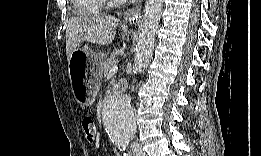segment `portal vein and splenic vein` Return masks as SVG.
Returning <instances> with one entry per match:
<instances>
[{
  "label": "portal vein and splenic vein",
  "mask_w": 261,
  "mask_h": 156,
  "mask_svg": "<svg viewBox=\"0 0 261 156\" xmlns=\"http://www.w3.org/2000/svg\"><path fill=\"white\" fill-rule=\"evenodd\" d=\"M118 72V66L117 65H113L110 70H109V76L114 75Z\"/></svg>",
  "instance_id": "18ae733b"
}]
</instances>
